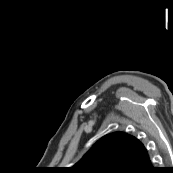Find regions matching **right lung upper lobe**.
Segmentation results:
<instances>
[{
  "label": "right lung upper lobe",
  "instance_id": "right-lung-upper-lobe-1",
  "mask_svg": "<svg viewBox=\"0 0 173 173\" xmlns=\"http://www.w3.org/2000/svg\"><path fill=\"white\" fill-rule=\"evenodd\" d=\"M147 157V150L138 139L123 132H114L99 139L69 172L125 173Z\"/></svg>",
  "mask_w": 173,
  "mask_h": 173
}]
</instances>
